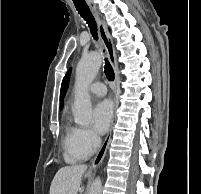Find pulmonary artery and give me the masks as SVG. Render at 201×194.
Returning a JSON list of instances; mask_svg holds the SVG:
<instances>
[{
  "label": "pulmonary artery",
  "instance_id": "pulmonary-artery-1",
  "mask_svg": "<svg viewBox=\"0 0 201 194\" xmlns=\"http://www.w3.org/2000/svg\"><path fill=\"white\" fill-rule=\"evenodd\" d=\"M89 92L95 96H104L107 93V89L103 83L95 82L90 85Z\"/></svg>",
  "mask_w": 201,
  "mask_h": 194
}]
</instances>
